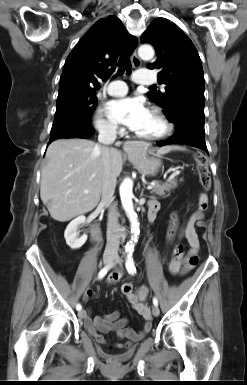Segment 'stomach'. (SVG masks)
<instances>
[{
  "label": "stomach",
  "instance_id": "stomach-1",
  "mask_svg": "<svg viewBox=\"0 0 247 385\" xmlns=\"http://www.w3.org/2000/svg\"><path fill=\"white\" fill-rule=\"evenodd\" d=\"M150 154L151 152L145 147H140L137 150L130 151L128 158L140 173L155 175L161 166V161Z\"/></svg>",
  "mask_w": 247,
  "mask_h": 385
}]
</instances>
